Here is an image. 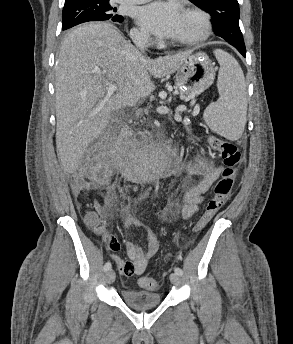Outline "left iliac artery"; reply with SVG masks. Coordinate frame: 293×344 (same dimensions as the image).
<instances>
[{
    "label": "left iliac artery",
    "instance_id": "44dca946",
    "mask_svg": "<svg viewBox=\"0 0 293 344\" xmlns=\"http://www.w3.org/2000/svg\"><path fill=\"white\" fill-rule=\"evenodd\" d=\"M174 272H175L176 274L180 275V276L183 274L182 269L179 268V267H175V268H174Z\"/></svg>",
    "mask_w": 293,
    "mask_h": 344
}]
</instances>
